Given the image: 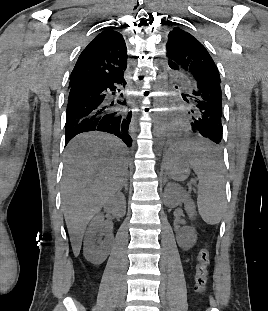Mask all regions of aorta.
<instances>
[{
    "label": "aorta",
    "mask_w": 268,
    "mask_h": 311,
    "mask_svg": "<svg viewBox=\"0 0 268 311\" xmlns=\"http://www.w3.org/2000/svg\"><path fill=\"white\" fill-rule=\"evenodd\" d=\"M156 79L153 81L152 90L154 92V151L156 155H160V152L164 146L166 139V123H167V89L166 81L167 72L164 68L158 67L156 72Z\"/></svg>",
    "instance_id": "1"
}]
</instances>
